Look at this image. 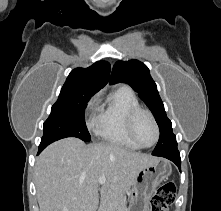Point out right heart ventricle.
<instances>
[{
	"label": "right heart ventricle",
	"instance_id": "e07e8e85",
	"mask_svg": "<svg viewBox=\"0 0 221 211\" xmlns=\"http://www.w3.org/2000/svg\"><path fill=\"white\" fill-rule=\"evenodd\" d=\"M139 106V100L130 87L121 85L112 90L99 110L97 135L105 142L132 150L139 149L130 139L126 129L128 112Z\"/></svg>",
	"mask_w": 221,
	"mask_h": 211
}]
</instances>
